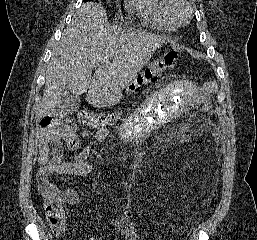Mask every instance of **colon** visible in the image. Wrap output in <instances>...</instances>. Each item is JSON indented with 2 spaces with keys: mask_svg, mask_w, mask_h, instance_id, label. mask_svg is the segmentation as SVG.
Returning <instances> with one entry per match:
<instances>
[{
  "mask_svg": "<svg viewBox=\"0 0 257 240\" xmlns=\"http://www.w3.org/2000/svg\"><path fill=\"white\" fill-rule=\"evenodd\" d=\"M179 56L176 52L170 51L146 66L137 77L130 83L128 89L130 92H136L141 87L153 83L159 75L166 69L173 66ZM217 90V85L214 81H208L204 85L205 94H213ZM83 117L92 123H97L99 118L89 112H83ZM42 128H56L51 118L46 117L41 121ZM45 211L51 224L60 226L61 219L64 214L63 201L59 195L46 193L42 195Z\"/></svg>",
  "mask_w": 257,
  "mask_h": 240,
  "instance_id": "obj_1",
  "label": "colon"
}]
</instances>
